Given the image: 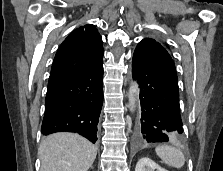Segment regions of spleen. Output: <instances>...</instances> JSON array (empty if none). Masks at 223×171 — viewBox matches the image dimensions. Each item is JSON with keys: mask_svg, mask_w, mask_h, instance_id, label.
<instances>
[{"mask_svg": "<svg viewBox=\"0 0 223 171\" xmlns=\"http://www.w3.org/2000/svg\"><path fill=\"white\" fill-rule=\"evenodd\" d=\"M155 152L168 166L181 168L184 165V154L180 149L174 146L160 145L156 147Z\"/></svg>", "mask_w": 223, "mask_h": 171, "instance_id": "spleen-1", "label": "spleen"}]
</instances>
